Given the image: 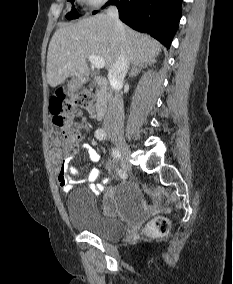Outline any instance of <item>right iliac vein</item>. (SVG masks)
<instances>
[{
	"instance_id": "63e3f726",
	"label": "right iliac vein",
	"mask_w": 233,
	"mask_h": 284,
	"mask_svg": "<svg viewBox=\"0 0 233 284\" xmlns=\"http://www.w3.org/2000/svg\"><path fill=\"white\" fill-rule=\"evenodd\" d=\"M111 139L114 141L115 145L117 146L120 152L122 164L126 169H129L131 167L130 165L131 153L126 141L119 133H112Z\"/></svg>"
}]
</instances>
